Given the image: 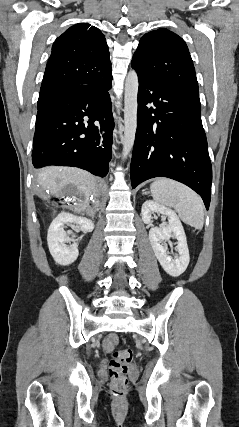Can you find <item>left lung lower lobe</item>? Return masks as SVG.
<instances>
[{"instance_id": "obj_1", "label": "left lung lower lobe", "mask_w": 239, "mask_h": 427, "mask_svg": "<svg viewBox=\"0 0 239 427\" xmlns=\"http://www.w3.org/2000/svg\"><path fill=\"white\" fill-rule=\"evenodd\" d=\"M138 78L132 187L150 178L168 177L196 191L208 209L212 167L199 96L140 73Z\"/></svg>"}]
</instances>
